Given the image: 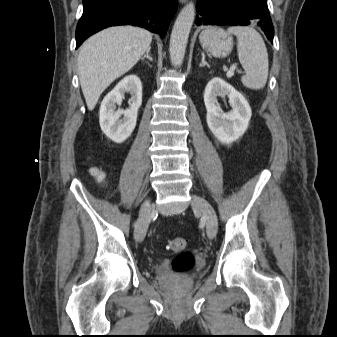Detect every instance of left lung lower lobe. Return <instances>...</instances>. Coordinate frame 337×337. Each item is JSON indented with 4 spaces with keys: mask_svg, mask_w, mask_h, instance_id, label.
Here are the masks:
<instances>
[{
    "mask_svg": "<svg viewBox=\"0 0 337 337\" xmlns=\"http://www.w3.org/2000/svg\"><path fill=\"white\" fill-rule=\"evenodd\" d=\"M197 25H255L273 43L274 28L267 0H198Z\"/></svg>",
    "mask_w": 337,
    "mask_h": 337,
    "instance_id": "left-lung-lower-lobe-1",
    "label": "left lung lower lobe"
}]
</instances>
